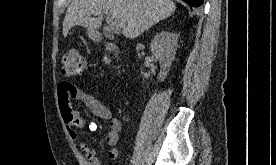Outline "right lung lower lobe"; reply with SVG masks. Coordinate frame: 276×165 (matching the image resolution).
<instances>
[{"label": "right lung lower lobe", "instance_id": "98d812e1", "mask_svg": "<svg viewBox=\"0 0 276 165\" xmlns=\"http://www.w3.org/2000/svg\"><path fill=\"white\" fill-rule=\"evenodd\" d=\"M183 1L189 4L190 6L198 7L203 4L204 0H183Z\"/></svg>", "mask_w": 276, "mask_h": 165}]
</instances>
